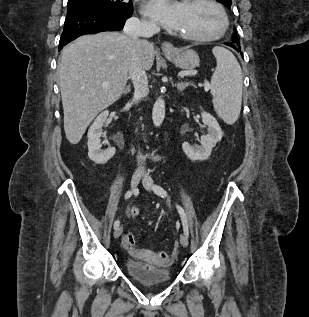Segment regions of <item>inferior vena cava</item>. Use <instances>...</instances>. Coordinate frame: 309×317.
<instances>
[{
    "mask_svg": "<svg viewBox=\"0 0 309 317\" xmlns=\"http://www.w3.org/2000/svg\"><path fill=\"white\" fill-rule=\"evenodd\" d=\"M158 31L159 28L156 24L141 22L139 19L134 17L128 19L125 23L124 32L134 44L131 64L129 67V75L134 85V101L141 100L149 93L147 75L140 58L139 48L142 40L139 38L151 37ZM138 165L139 167L137 171H143L144 166L141 155L138 156Z\"/></svg>",
    "mask_w": 309,
    "mask_h": 317,
    "instance_id": "inferior-vena-cava-1",
    "label": "inferior vena cava"
}]
</instances>
